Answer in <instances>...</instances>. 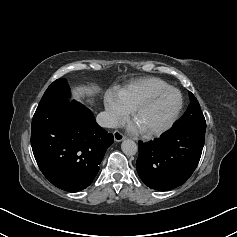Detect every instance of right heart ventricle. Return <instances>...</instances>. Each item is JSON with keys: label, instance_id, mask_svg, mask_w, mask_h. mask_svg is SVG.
<instances>
[{"label": "right heart ventricle", "instance_id": "obj_1", "mask_svg": "<svg viewBox=\"0 0 237 237\" xmlns=\"http://www.w3.org/2000/svg\"><path fill=\"white\" fill-rule=\"evenodd\" d=\"M169 85L158 78L148 77L134 80L122 88L115 89L112 94L130 112L136 103L145 96L168 87Z\"/></svg>", "mask_w": 237, "mask_h": 237}]
</instances>
